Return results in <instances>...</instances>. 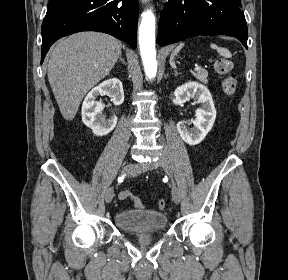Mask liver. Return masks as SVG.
Masks as SVG:
<instances>
[{"label": "liver", "instance_id": "6515ba94", "mask_svg": "<svg viewBox=\"0 0 288 280\" xmlns=\"http://www.w3.org/2000/svg\"><path fill=\"white\" fill-rule=\"evenodd\" d=\"M121 48V42L111 35L81 32L51 49L48 80L65 119H74L83 97L109 74Z\"/></svg>", "mask_w": 288, "mask_h": 280}]
</instances>
